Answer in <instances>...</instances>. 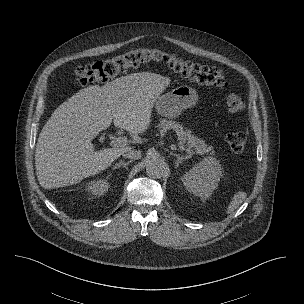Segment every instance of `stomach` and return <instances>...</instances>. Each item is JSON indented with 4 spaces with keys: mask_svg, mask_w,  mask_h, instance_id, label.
I'll use <instances>...</instances> for the list:
<instances>
[{
    "mask_svg": "<svg viewBox=\"0 0 304 304\" xmlns=\"http://www.w3.org/2000/svg\"><path fill=\"white\" fill-rule=\"evenodd\" d=\"M198 101L197 92L189 86H179L158 96L154 105L158 114L168 118L178 117L184 109L193 107Z\"/></svg>",
    "mask_w": 304,
    "mask_h": 304,
    "instance_id": "stomach-1",
    "label": "stomach"
}]
</instances>
